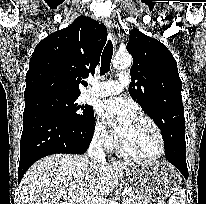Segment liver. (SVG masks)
<instances>
[{"instance_id": "liver-1", "label": "liver", "mask_w": 206, "mask_h": 204, "mask_svg": "<svg viewBox=\"0 0 206 204\" xmlns=\"http://www.w3.org/2000/svg\"><path fill=\"white\" fill-rule=\"evenodd\" d=\"M135 165L104 161L94 166L87 156H47L34 163L22 178V204H86L94 193L100 197L109 194L122 179L123 171Z\"/></svg>"}]
</instances>
